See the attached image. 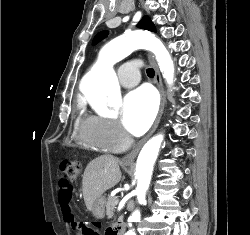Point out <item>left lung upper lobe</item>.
Returning a JSON list of instances; mask_svg holds the SVG:
<instances>
[{"instance_id": "5c2ea615", "label": "left lung upper lobe", "mask_w": 250, "mask_h": 235, "mask_svg": "<svg viewBox=\"0 0 250 235\" xmlns=\"http://www.w3.org/2000/svg\"><path fill=\"white\" fill-rule=\"evenodd\" d=\"M138 27L141 29L149 30V31H155V26L148 16H144L142 18V20L138 24ZM107 35H108L107 31H102L98 33L93 40V44L98 43L99 41L104 39Z\"/></svg>"}]
</instances>
